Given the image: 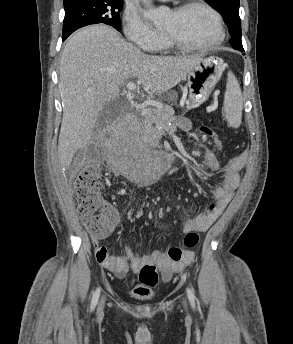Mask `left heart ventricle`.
<instances>
[{
    "instance_id": "left-heart-ventricle-1",
    "label": "left heart ventricle",
    "mask_w": 293,
    "mask_h": 344,
    "mask_svg": "<svg viewBox=\"0 0 293 344\" xmlns=\"http://www.w3.org/2000/svg\"><path fill=\"white\" fill-rule=\"evenodd\" d=\"M163 31L194 45L209 43L217 35L213 17L199 7L180 14L170 12L164 22Z\"/></svg>"
}]
</instances>
